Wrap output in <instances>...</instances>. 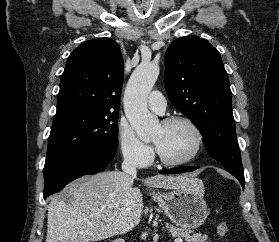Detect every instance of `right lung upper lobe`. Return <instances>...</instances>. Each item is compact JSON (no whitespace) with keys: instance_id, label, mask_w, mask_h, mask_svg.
<instances>
[{"instance_id":"1","label":"right lung upper lobe","mask_w":279,"mask_h":242,"mask_svg":"<svg viewBox=\"0 0 279 242\" xmlns=\"http://www.w3.org/2000/svg\"><path fill=\"white\" fill-rule=\"evenodd\" d=\"M123 76V57L114 40L82 43L68 57L61 76L57 114L78 109L118 112Z\"/></svg>"}]
</instances>
